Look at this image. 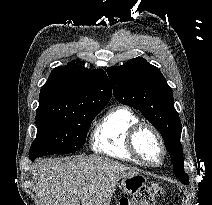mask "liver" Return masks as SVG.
<instances>
[{
	"label": "liver",
	"instance_id": "liver-1",
	"mask_svg": "<svg viewBox=\"0 0 212 205\" xmlns=\"http://www.w3.org/2000/svg\"><path fill=\"white\" fill-rule=\"evenodd\" d=\"M136 174L97 156L41 160L33 171L41 205H109L120 178Z\"/></svg>",
	"mask_w": 212,
	"mask_h": 205
}]
</instances>
